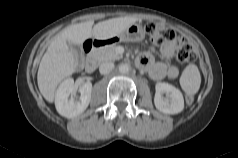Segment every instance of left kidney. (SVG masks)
Wrapping results in <instances>:
<instances>
[{"label":"left kidney","instance_id":"left-kidney-1","mask_svg":"<svg viewBox=\"0 0 238 158\" xmlns=\"http://www.w3.org/2000/svg\"><path fill=\"white\" fill-rule=\"evenodd\" d=\"M155 107L165 114H178L184 109V99L181 91L171 84L158 82L155 86ZM166 94V98L163 97Z\"/></svg>","mask_w":238,"mask_h":158}]
</instances>
